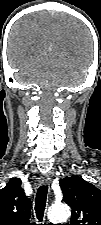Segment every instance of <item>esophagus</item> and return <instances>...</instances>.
<instances>
[{
	"label": "esophagus",
	"instance_id": "1",
	"mask_svg": "<svg viewBox=\"0 0 101 225\" xmlns=\"http://www.w3.org/2000/svg\"><path fill=\"white\" fill-rule=\"evenodd\" d=\"M40 183L43 185H50L51 178L48 175H44L40 177Z\"/></svg>",
	"mask_w": 101,
	"mask_h": 225
}]
</instances>
